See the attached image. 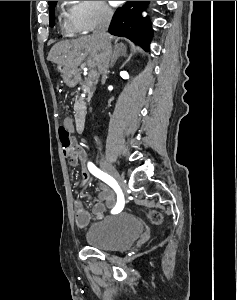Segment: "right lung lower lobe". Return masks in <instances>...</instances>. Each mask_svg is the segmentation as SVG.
Returning a JSON list of instances; mask_svg holds the SVG:
<instances>
[{
    "mask_svg": "<svg viewBox=\"0 0 237 300\" xmlns=\"http://www.w3.org/2000/svg\"><path fill=\"white\" fill-rule=\"evenodd\" d=\"M148 1H128L118 8L109 27V32L136 41L145 49H149L152 36L151 25L147 18L141 17Z\"/></svg>",
    "mask_w": 237,
    "mask_h": 300,
    "instance_id": "obj_1",
    "label": "right lung lower lobe"
}]
</instances>
